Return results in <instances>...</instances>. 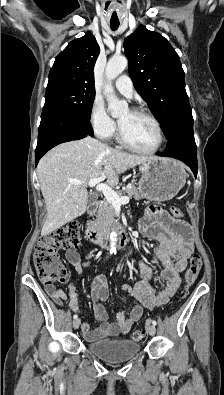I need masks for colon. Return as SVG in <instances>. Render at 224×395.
<instances>
[{"label": "colon", "instance_id": "colon-1", "mask_svg": "<svg viewBox=\"0 0 224 395\" xmlns=\"http://www.w3.org/2000/svg\"><path fill=\"white\" fill-rule=\"evenodd\" d=\"M171 212L176 218L183 217V212L179 207H172ZM79 245L80 234L79 227L76 224L65 225L42 236L37 242L33 255L34 265L40 280L45 284L64 282L68 278V272L58 255V250L77 248ZM201 266L200 255L193 254L185 273L182 297L187 294L189 288L197 280ZM144 337L145 332L142 329H136L131 333V339L134 341H141Z\"/></svg>", "mask_w": 224, "mask_h": 395}]
</instances>
